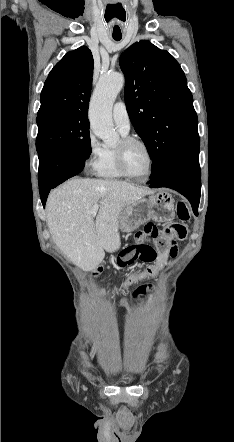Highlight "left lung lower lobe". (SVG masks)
<instances>
[{
  "instance_id": "0a47b994",
  "label": "left lung lower lobe",
  "mask_w": 234,
  "mask_h": 442,
  "mask_svg": "<svg viewBox=\"0 0 234 442\" xmlns=\"http://www.w3.org/2000/svg\"><path fill=\"white\" fill-rule=\"evenodd\" d=\"M199 149V135L188 138L178 147L165 170L150 180L152 188L168 187L183 194L195 212L201 191Z\"/></svg>"
}]
</instances>
